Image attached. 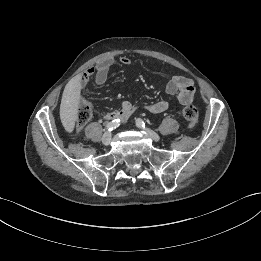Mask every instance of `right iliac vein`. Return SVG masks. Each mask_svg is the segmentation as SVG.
<instances>
[{"label": "right iliac vein", "mask_w": 261, "mask_h": 261, "mask_svg": "<svg viewBox=\"0 0 261 261\" xmlns=\"http://www.w3.org/2000/svg\"><path fill=\"white\" fill-rule=\"evenodd\" d=\"M111 140H112V134L110 132L104 133V135L102 136L103 145L108 146L111 143Z\"/></svg>", "instance_id": "63e3f726"}]
</instances>
